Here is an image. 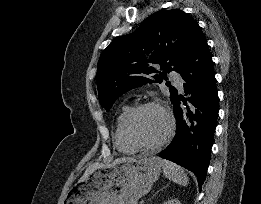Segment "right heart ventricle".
Listing matches in <instances>:
<instances>
[{"mask_svg": "<svg viewBox=\"0 0 261 204\" xmlns=\"http://www.w3.org/2000/svg\"><path fill=\"white\" fill-rule=\"evenodd\" d=\"M130 105H123L115 119V125H114V142L117 150L124 154H131L136 151L133 147H131L123 138L122 131H121V125L122 121L126 115V113L130 110Z\"/></svg>", "mask_w": 261, "mask_h": 204, "instance_id": "right-heart-ventricle-1", "label": "right heart ventricle"}]
</instances>
